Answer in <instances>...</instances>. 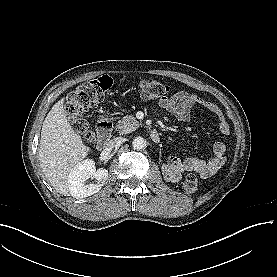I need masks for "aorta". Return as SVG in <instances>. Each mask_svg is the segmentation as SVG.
<instances>
[{"mask_svg": "<svg viewBox=\"0 0 277 277\" xmlns=\"http://www.w3.org/2000/svg\"><path fill=\"white\" fill-rule=\"evenodd\" d=\"M132 147L135 150H143L147 147V141L143 137H135L132 141Z\"/></svg>", "mask_w": 277, "mask_h": 277, "instance_id": "762f6f07", "label": "aorta"}]
</instances>
